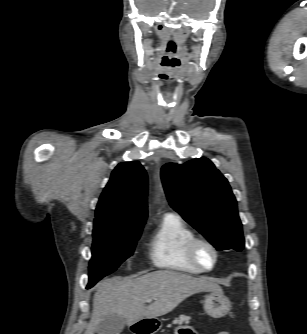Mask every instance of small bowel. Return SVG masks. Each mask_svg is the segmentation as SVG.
<instances>
[{
    "label": "small bowel",
    "mask_w": 307,
    "mask_h": 334,
    "mask_svg": "<svg viewBox=\"0 0 307 334\" xmlns=\"http://www.w3.org/2000/svg\"><path fill=\"white\" fill-rule=\"evenodd\" d=\"M176 334H196V333H194L192 331H189V330H186V329H180V330L177 331ZM217 334H229V333L227 331H221Z\"/></svg>",
    "instance_id": "obj_1"
}]
</instances>
